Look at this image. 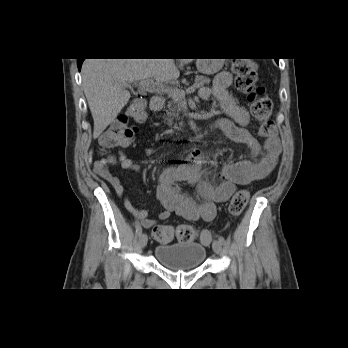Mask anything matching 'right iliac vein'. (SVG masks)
Listing matches in <instances>:
<instances>
[{
	"instance_id": "right-iliac-vein-1",
	"label": "right iliac vein",
	"mask_w": 348,
	"mask_h": 348,
	"mask_svg": "<svg viewBox=\"0 0 348 348\" xmlns=\"http://www.w3.org/2000/svg\"><path fill=\"white\" fill-rule=\"evenodd\" d=\"M148 242V236L147 234L143 233L139 236V244L141 248H144L147 245Z\"/></svg>"
}]
</instances>
